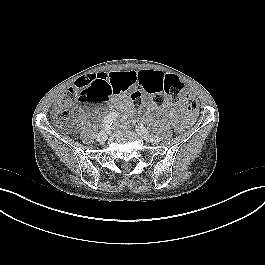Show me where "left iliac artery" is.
<instances>
[{
  "label": "left iliac artery",
  "instance_id": "44dca946",
  "mask_svg": "<svg viewBox=\"0 0 265 265\" xmlns=\"http://www.w3.org/2000/svg\"><path fill=\"white\" fill-rule=\"evenodd\" d=\"M150 137H151L152 140L154 139L155 141H159L160 140V138L157 137V136L150 135Z\"/></svg>",
  "mask_w": 265,
  "mask_h": 265
}]
</instances>
